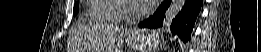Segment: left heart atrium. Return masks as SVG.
Returning a JSON list of instances; mask_svg holds the SVG:
<instances>
[{
	"label": "left heart atrium",
	"instance_id": "left-heart-atrium-1",
	"mask_svg": "<svg viewBox=\"0 0 261 52\" xmlns=\"http://www.w3.org/2000/svg\"><path fill=\"white\" fill-rule=\"evenodd\" d=\"M141 9H149L158 3L157 0H135L133 2Z\"/></svg>",
	"mask_w": 261,
	"mask_h": 52
}]
</instances>
